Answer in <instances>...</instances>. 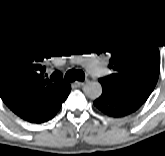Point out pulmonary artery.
Here are the masks:
<instances>
[{
	"label": "pulmonary artery",
	"instance_id": "e3ab8cb5",
	"mask_svg": "<svg viewBox=\"0 0 165 156\" xmlns=\"http://www.w3.org/2000/svg\"><path fill=\"white\" fill-rule=\"evenodd\" d=\"M80 61L83 63V65L88 68L90 71L93 70L94 66L90 64L87 60V58L80 59Z\"/></svg>",
	"mask_w": 165,
	"mask_h": 156
}]
</instances>
